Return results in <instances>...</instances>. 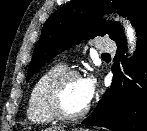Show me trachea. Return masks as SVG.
Returning a JSON list of instances; mask_svg holds the SVG:
<instances>
[{
	"mask_svg": "<svg viewBox=\"0 0 147 131\" xmlns=\"http://www.w3.org/2000/svg\"><path fill=\"white\" fill-rule=\"evenodd\" d=\"M102 56H104V57H110V54L105 53V54H102Z\"/></svg>",
	"mask_w": 147,
	"mask_h": 131,
	"instance_id": "trachea-1",
	"label": "trachea"
}]
</instances>
